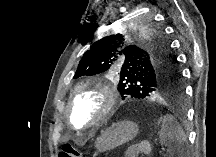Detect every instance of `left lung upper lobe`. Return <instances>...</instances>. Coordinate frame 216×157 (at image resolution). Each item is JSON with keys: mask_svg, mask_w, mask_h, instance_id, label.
Here are the masks:
<instances>
[{"mask_svg": "<svg viewBox=\"0 0 216 157\" xmlns=\"http://www.w3.org/2000/svg\"><path fill=\"white\" fill-rule=\"evenodd\" d=\"M156 19H128L111 27L116 35L92 44L80 61L74 79L112 70L120 74L118 90L123 99L180 97L182 74L176 56Z\"/></svg>", "mask_w": 216, "mask_h": 157, "instance_id": "5c2ea615", "label": "left lung upper lobe"}]
</instances>
